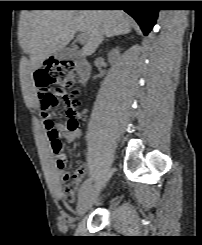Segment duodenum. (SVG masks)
Wrapping results in <instances>:
<instances>
[{"instance_id":"obj_1","label":"duodenum","mask_w":202,"mask_h":245,"mask_svg":"<svg viewBox=\"0 0 202 245\" xmlns=\"http://www.w3.org/2000/svg\"><path fill=\"white\" fill-rule=\"evenodd\" d=\"M76 67L79 82H86L90 76V64L81 58L76 61Z\"/></svg>"}]
</instances>
